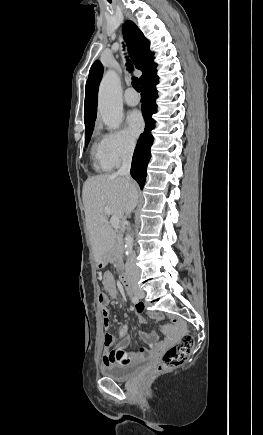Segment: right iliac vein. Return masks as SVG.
Instances as JSON below:
<instances>
[{
    "label": "right iliac vein",
    "mask_w": 263,
    "mask_h": 435,
    "mask_svg": "<svg viewBox=\"0 0 263 435\" xmlns=\"http://www.w3.org/2000/svg\"><path fill=\"white\" fill-rule=\"evenodd\" d=\"M133 293L138 296V297H143L144 296V292L138 288V287H134L133 288Z\"/></svg>",
    "instance_id": "obj_1"
}]
</instances>
